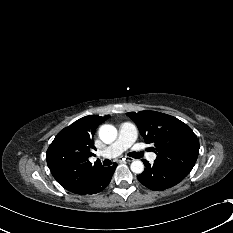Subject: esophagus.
<instances>
[{
  "mask_svg": "<svg viewBox=\"0 0 233 233\" xmlns=\"http://www.w3.org/2000/svg\"><path fill=\"white\" fill-rule=\"evenodd\" d=\"M124 160L127 161V162H132V161H134V159L131 158V157H125Z\"/></svg>",
  "mask_w": 233,
  "mask_h": 233,
  "instance_id": "1",
  "label": "esophagus"
}]
</instances>
